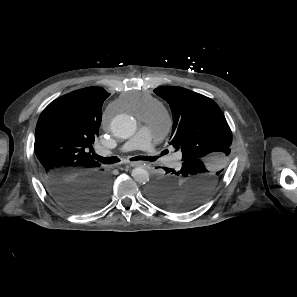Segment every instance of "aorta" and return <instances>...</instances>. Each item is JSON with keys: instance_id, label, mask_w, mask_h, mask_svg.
<instances>
[{"instance_id": "762f6f07", "label": "aorta", "mask_w": 297, "mask_h": 297, "mask_svg": "<svg viewBox=\"0 0 297 297\" xmlns=\"http://www.w3.org/2000/svg\"><path fill=\"white\" fill-rule=\"evenodd\" d=\"M111 131L116 137L128 139L134 135L136 124L126 114L117 115L111 122ZM131 175L139 184H146L149 181V173L144 168H134Z\"/></svg>"}]
</instances>
